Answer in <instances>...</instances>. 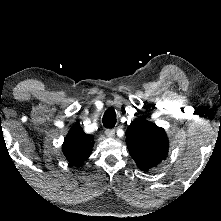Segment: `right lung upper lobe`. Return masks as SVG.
<instances>
[{
    "mask_svg": "<svg viewBox=\"0 0 221 221\" xmlns=\"http://www.w3.org/2000/svg\"><path fill=\"white\" fill-rule=\"evenodd\" d=\"M94 140L92 135L86 134L80 126H73L62 145L67 160L73 165H80L90 155Z\"/></svg>",
    "mask_w": 221,
    "mask_h": 221,
    "instance_id": "1",
    "label": "right lung upper lobe"
}]
</instances>
